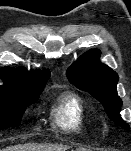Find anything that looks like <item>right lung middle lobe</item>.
I'll use <instances>...</instances> for the list:
<instances>
[{
    "instance_id": "dd1d6c3e",
    "label": "right lung middle lobe",
    "mask_w": 131,
    "mask_h": 151,
    "mask_svg": "<svg viewBox=\"0 0 131 151\" xmlns=\"http://www.w3.org/2000/svg\"><path fill=\"white\" fill-rule=\"evenodd\" d=\"M43 89L0 88V130L19 126L26 108L37 101Z\"/></svg>"
}]
</instances>
